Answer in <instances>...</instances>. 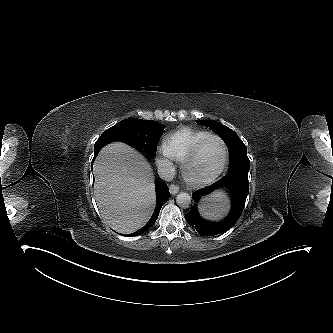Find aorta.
Segmentation results:
<instances>
[{
    "mask_svg": "<svg viewBox=\"0 0 333 333\" xmlns=\"http://www.w3.org/2000/svg\"><path fill=\"white\" fill-rule=\"evenodd\" d=\"M176 203L182 208H188L191 203V196L188 193H179L176 197Z\"/></svg>",
    "mask_w": 333,
    "mask_h": 333,
    "instance_id": "762f6f07",
    "label": "aorta"
}]
</instances>
